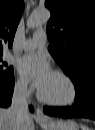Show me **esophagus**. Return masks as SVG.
Wrapping results in <instances>:
<instances>
[{
  "label": "esophagus",
  "mask_w": 95,
  "mask_h": 130,
  "mask_svg": "<svg viewBox=\"0 0 95 130\" xmlns=\"http://www.w3.org/2000/svg\"><path fill=\"white\" fill-rule=\"evenodd\" d=\"M35 119L38 121H43V120L47 119V117L44 115L42 109L39 107L36 109Z\"/></svg>",
  "instance_id": "1"
}]
</instances>
